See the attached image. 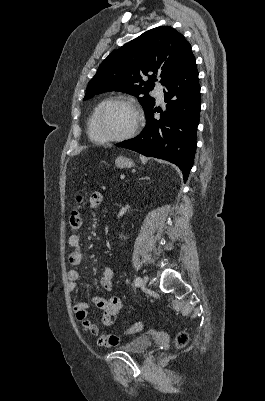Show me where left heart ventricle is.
<instances>
[{
  "instance_id": "1",
  "label": "left heart ventricle",
  "mask_w": 265,
  "mask_h": 401,
  "mask_svg": "<svg viewBox=\"0 0 265 401\" xmlns=\"http://www.w3.org/2000/svg\"><path fill=\"white\" fill-rule=\"evenodd\" d=\"M135 123L134 110L124 104H118L105 110L96 126V134L102 138H111L125 134Z\"/></svg>"
}]
</instances>
